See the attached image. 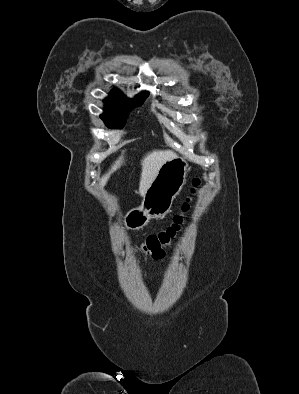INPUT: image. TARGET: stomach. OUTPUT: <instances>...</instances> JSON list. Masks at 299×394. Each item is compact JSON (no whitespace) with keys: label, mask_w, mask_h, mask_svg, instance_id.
<instances>
[{"label":"stomach","mask_w":299,"mask_h":394,"mask_svg":"<svg viewBox=\"0 0 299 394\" xmlns=\"http://www.w3.org/2000/svg\"><path fill=\"white\" fill-rule=\"evenodd\" d=\"M187 172L188 164L183 159L173 157L167 160L145 193L141 206L131 209L124 216V226L138 230L151 219L166 215L185 184Z\"/></svg>","instance_id":"stomach-1"}]
</instances>
